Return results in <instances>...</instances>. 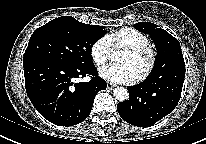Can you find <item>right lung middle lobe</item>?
<instances>
[{"mask_svg":"<svg viewBox=\"0 0 206 144\" xmlns=\"http://www.w3.org/2000/svg\"><path fill=\"white\" fill-rule=\"evenodd\" d=\"M104 35L103 26L62 16L33 32L23 60L46 58L76 67L92 64L91 47Z\"/></svg>","mask_w":206,"mask_h":144,"instance_id":"right-lung-middle-lobe-1","label":"right lung middle lobe"}]
</instances>
